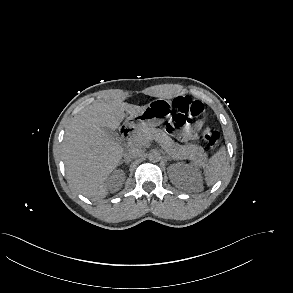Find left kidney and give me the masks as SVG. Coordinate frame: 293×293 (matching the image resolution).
Listing matches in <instances>:
<instances>
[{"label": "left kidney", "mask_w": 293, "mask_h": 293, "mask_svg": "<svg viewBox=\"0 0 293 293\" xmlns=\"http://www.w3.org/2000/svg\"><path fill=\"white\" fill-rule=\"evenodd\" d=\"M171 169L173 170L171 179L175 186L191 188L196 191L202 190V176L196 167L179 162L172 164Z\"/></svg>", "instance_id": "left-kidney-1"}]
</instances>
